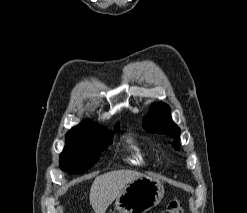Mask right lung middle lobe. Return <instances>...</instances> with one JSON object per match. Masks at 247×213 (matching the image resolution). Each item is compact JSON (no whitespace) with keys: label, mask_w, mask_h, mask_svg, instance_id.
<instances>
[{"label":"right lung middle lobe","mask_w":247,"mask_h":213,"mask_svg":"<svg viewBox=\"0 0 247 213\" xmlns=\"http://www.w3.org/2000/svg\"><path fill=\"white\" fill-rule=\"evenodd\" d=\"M117 131L119 126L117 125ZM112 142L104 129L85 136H67L66 145L60 155V167L69 173L78 174L92 167Z\"/></svg>","instance_id":"right-lung-middle-lobe-1"}]
</instances>
